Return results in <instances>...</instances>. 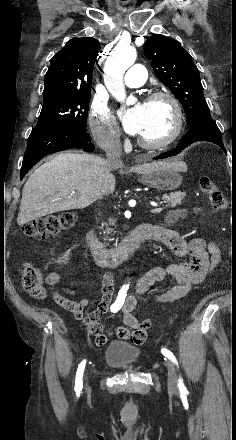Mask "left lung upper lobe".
Wrapping results in <instances>:
<instances>
[{
	"mask_svg": "<svg viewBox=\"0 0 236 440\" xmlns=\"http://www.w3.org/2000/svg\"><path fill=\"white\" fill-rule=\"evenodd\" d=\"M144 52L152 60L156 76L183 105L187 128L211 118L199 71L178 41L156 34L147 39Z\"/></svg>",
	"mask_w": 236,
	"mask_h": 440,
	"instance_id": "1",
	"label": "left lung upper lobe"
}]
</instances>
